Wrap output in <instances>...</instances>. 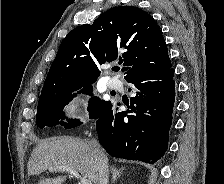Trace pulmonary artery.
Listing matches in <instances>:
<instances>
[{
  "instance_id": "1",
  "label": "pulmonary artery",
  "mask_w": 224,
  "mask_h": 184,
  "mask_svg": "<svg viewBox=\"0 0 224 184\" xmlns=\"http://www.w3.org/2000/svg\"><path fill=\"white\" fill-rule=\"evenodd\" d=\"M107 85L110 89H114V90H120L122 88L121 81L116 77H112L108 79Z\"/></svg>"
}]
</instances>
